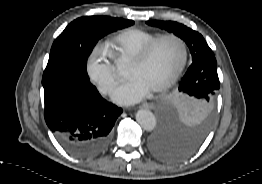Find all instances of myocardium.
<instances>
[{
	"label": "myocardium",
	"instance_id": "myocardium-1",
	"mask_svg": "<svg viewBox=\"0 0 262 184\" xmlns=\"http://www.w3.org/2000/svg\"><path fill=\"white\" fill-rule=\"evenodd\" d=\"M167 39H173V40H176L177 42L180 43V45L182 46V49H183V59L181 61V64L177 68V70L174 72V74L167 81H165L160 86L151 89L153 92H163V91L169 89L172 85H174L177 82V80L179 79V77L183 73V71H184V69L187 65L188 58H189V50H188V45H187L186 41L182 37H180L176 34L161 35L158 38H156L155 40H153L152 42H150L149 44H147L137 55H135L131 59V63H134L136 65L143 64L150 57V55L152 54V52L156 48V46L160 42L167 40Z\"/></svg>",
	"mask_w": 262,
	"mask_h": 184
}]
</instances>
